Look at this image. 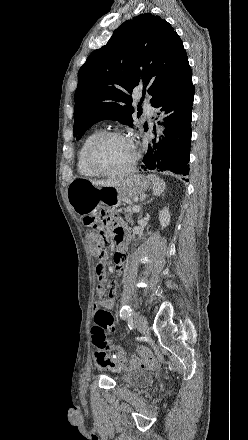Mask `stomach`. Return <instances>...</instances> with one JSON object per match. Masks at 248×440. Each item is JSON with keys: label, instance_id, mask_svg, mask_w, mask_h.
<instances>
[{"label": "stomach", "instance_id": "obj_1", "mask_svg": "<svg viewBox=\"0 0 248 440\" xmlns=\"http://www.w3.org/2000/svg\"><path fill=\"white\" fill-rule=\"evenodd\" d=\"M147 179L132 175L113 186H95L84 178L73 179L67 189L68 200L74 211L85 214L99 205L117 207L126 198H136L149 188Z\"/></svg>", "mask_w": 248, "mask_h": 440}]
</instances>
